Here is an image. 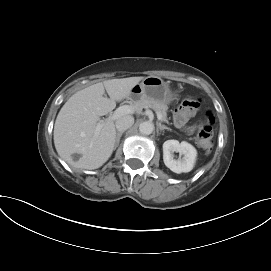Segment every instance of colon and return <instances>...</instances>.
<instances>
[{
    "mask_svg": "<svg viewBox=\"0 0 271 271\" xmlns=\"http://www.w3.org/2000/svg\"><path fill=\"white\" fill-rule=\"evenodd\" d=\"M200 107V102L195 97H187L183 100L180 106L177 108L174 114L175 123L192 132L193 127L188 125L191 117H193ZM214 116L211 112L206 114L205 120L198 126L196 134V142L198 146L206 152H209L213 146V124Z\"/></svg>",
    "mask_w": 271,
    "mask_h": 271,
    "instance_id": "obj_1",
    "label": "colon"
}]
</instances>
